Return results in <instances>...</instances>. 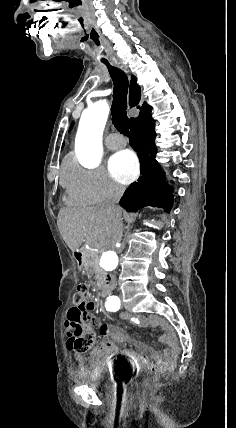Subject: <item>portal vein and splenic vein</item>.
Wrapping results in <instances>:
<instances>
[{
  "mask_svg": "<svg viewBox=\"0 0 236 428\" xmlns=\"http://www.w3.org/2000/svg\"><path fill=\"white\" fill-rule=\"evenodd\" d=\"M91 246H95V244H91Z\"/></svg>",
  "mask_w": 236,
  "mask_h": 428,
  "instance_id": "18ae733b",
  "label": "portal vein and splenic vein"
}]
</instances>
